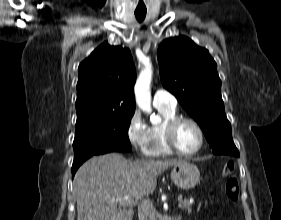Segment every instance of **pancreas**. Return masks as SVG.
I'll return each instance as SVG.
<instances>
[{"label": "pancreas", "instance_id": "1", "mask_svg": "<svg viewBox=\"0 0 281 220\" xmlns=\"http://www.w3.org/2000/svg\"><path fill=\"white\" fill-rule=\"evenodd\" d=\"M180 208L191 212L192 211V203L188 199H184L183 201L180 202Z\"/></svg>", "mask_w": 281, "mask_h": 220}]
</instances>
